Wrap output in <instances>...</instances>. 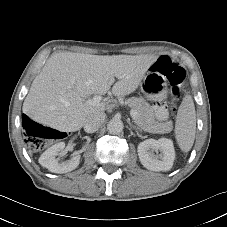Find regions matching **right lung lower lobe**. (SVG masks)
<instances>
[{
    "label": "right lung lower lobe",
    "mask_w": 227,
    "mask_h": 227,
    "mask_svg": "<svg viewBox=\"0 0 227 227\" xmlns=\"http://www.w3.org/2000/svg\"><path fill=\"white\" fill-rule=\"evenodd\" d=\"M32 123H35V122H33V121H28V120H24V121H23V126L25 127V126H28L29 124H32Z\"/></svg>",
    "instance_id": "1"
}]
</instances>
